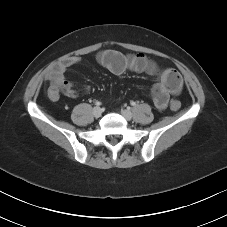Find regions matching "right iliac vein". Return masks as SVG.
Segmentation results:
<instances>
[{"instance_id":"63e3f726","label":"right iliac vein","mask_w":227,"mask_h":227,"mask_svg":"<svg viewBox=\"0 0 227 227\" xmlns=\"http://www.w3.org/2000/svg\"><path fill=\"white\" fill-rule=\"evenodd\" d=\"M101 114H102V109H101L100 107H95V108L93 109V115H94L96 118L100 117Z\"/></svg>"}]
</instances>
